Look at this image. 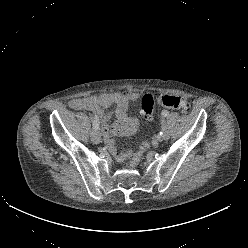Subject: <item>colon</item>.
<instances>
[{
	"label": "colon",
	"mask_w": 248,
	"mask_h": 248,
	"mask_svg": "<svg viewBox=\"0 0 248 248\" xmlns=\"http://www.w3.org/2000/svg\"><path fill=\"white\" fill-rule=\"evenodd\" d=\"M155 104H160L165 107L179 110L184 113H188L190 111V105L186 99L178 96H171V95H145L142 98L141 102V115L147 121L152 120V114ZM149 144L146 141H143L139 146L138 149L134 153H129V155L125 156L129 162V165L134 167L136 166L143 155V152L148 148Z\"/></svg>",
	"instance_id": "5ec220e1"
}]
</instances>
